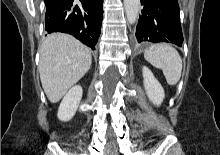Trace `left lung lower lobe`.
<instances>
[{"mask_svg":"<svg viewBox=\"0 0 220 155\" xmlns=\"http://www.w3.org/2000/svg\"><path fill=\"white\" fill-rule=\"evenodd\" d=\"M143 9L136 29V41L183 43L177 0H141Z\"/></svg>","mask_w":220,"mask_h":155,"instance_id":"obj_1","label":"left lung lower lobe"}]
</instances>
